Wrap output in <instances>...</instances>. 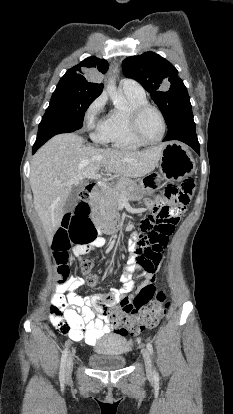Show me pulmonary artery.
<instances>
[{"label": "pulmonary artery", "mask_w": 233, "mask_h": 414, "mask_svg": "<svg viewBox=\"0 0 233 414\" xmlns=\"http://www.w3.org/2000/svg\"><path fill=\"white\" fill-rule=\"evenodd\" d=\"M120 88L123 92L133 93L137 95H144L145 91L143 87L135 80L124 78L120 81Z\"/></svg>", "instance_id": "obj_1"}]
</instances>
